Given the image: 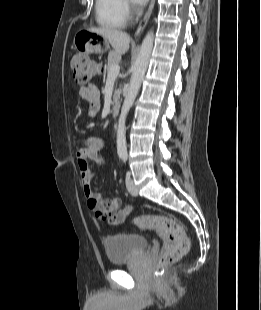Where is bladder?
Here are the masks:
<instances>
[{
  "label": "bladder",
  "instance_id": "bladder-1",
  "mask_svg": "<svg viewBox=\"0 0 261 310\" xmlns=\"http://www.w3.org/2000/svg\"><path fill=\"white\" fill-rule=\"evenodd\" d=\"M147 245L148 241L144 236L133 233H115L104 240L106 255L114 265L134 259Z\"/></svg>",
  "mask_w": 261,
  "mask_h": 310
}]
</instances>
